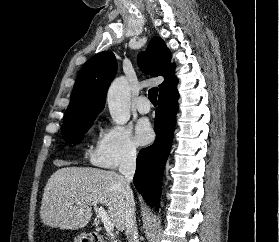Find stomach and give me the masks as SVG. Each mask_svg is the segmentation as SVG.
<instances>
[{"label": "stomach", "instance_id": "1", "mask_svg": "<svg viewBox=\"0 0 279 242\" xmlns=\"http://www.w3.org/2000/svg\"><path fill=\"white\" fill-rule=\"evenodd\" d=\"M87 238V235L85 234H81V235H78L76 238H75V242H83L85 241Z\"/></svg>", "mask_w": 279, "mask_h": 242}]
</instances>
